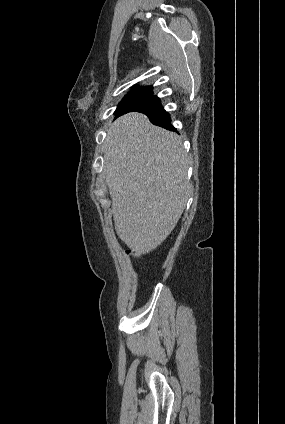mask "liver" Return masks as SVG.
<instances>
[{"mask_svg":"<svg viewBox=\"0 0 285 424\" xmlns=\"http://www.w3.org/2000/svg\"><path fill=\"white\" fill-rule=\"evenodd\" d=\"M103 148L116 233L133 251L149 253L175 228L188 200L182 139L128 113L111 125Z\"/></svg>","mask_w":285,"mask_h":424,"instance_id":"liver-1","label":"liver"}]
</instances>
